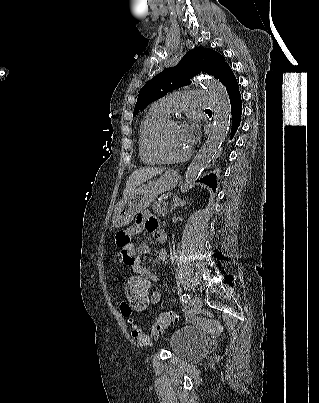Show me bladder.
Wrapping results in <instances>:
<instances>
[{"label":"bladder","instance_id":"1","mask_svg":"<svg viewBox=\"0 0 319 403\" xmlns=\"http://www.w3.org/2000/svg\"><path fill=\"white\" fill-rule=\"evenodd\" d=\"M169 351L173 357L186 361L202 358L208 348V338L194 328H178L168 336Z\"/></svg>","mask_w":319,"mask_h":403}]
</instances>
